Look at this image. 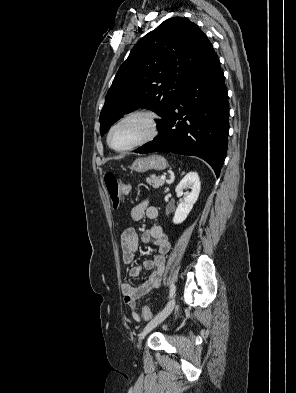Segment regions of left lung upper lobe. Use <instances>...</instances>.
<instances>
[{"instance_id":"1","label":"left lung upper lobe","mask_w":296,"mask_h":393,"mask_svg":"<svg viewBox=\"0 0 296 393\" xmlns=\"http://www.w3.org/2000/svg\"><path fill=\"white\" fill-rule=\"evenodd\" d=\"M213 52L204 32L188 19L162 22L120 66L100 114V132L104 134L120 116L138 108L159 114L160 128L177 97Z\"/></svg>"}]
</instances>
